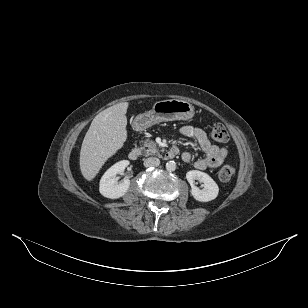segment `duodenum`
<instances>
[{"label": "duodenum", "mask_w": 308, "mask_h": 308, "mask_svg": "<svg viewBox=\"0 0 308 308\" xmlns=\"http://www.w3.org/2000/svg\"><path fill=\"white\" fill-rule=\"evenodd\" d=\"M178 152H179V150H178L177 147H171L169 149V151L167 152V157L170 158V159L174 158L178 154ZM139 156H140V151L137 148L132 149L129 152V155H128L129 159L132 160V161L137 160L139 158Z\"/></svg>", "instance_id": "410a0bca"}]
</instances>
